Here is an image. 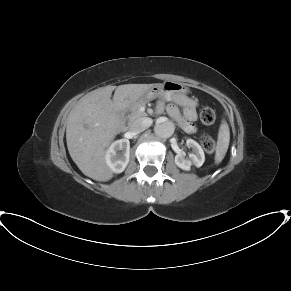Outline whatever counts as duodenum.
<instances>
[{"mask_svg": "<svg viewBox=\"0 0 291 291\" xmlns=\"http://www.w3.org/2000/svg\"><path fill=\"white\" fill-rule=\"evenodd\" d=\"M122 108H116L115 109V120H116V123H115V126L118 130H121L124 128V123H123V119H122Z\"/></svg>", "mask_w": 291, "mask_h": 291, "instance_id": "duodenum-1", "label": "duodenum"}]
</instances>
